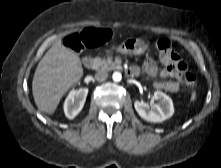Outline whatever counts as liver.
<instances>
[{"mask_svg": "<svg viewBox=\"0 0 221 168\" xmlns=\"http://www.w3.org/2000/svg\"><path fill=\"white\" fill-rule=\"evenodd\" d=\"M83 76L79 56L57 39L40 60L32 81V93L40 111L52 115L65 93Z\"/></svg>", "mask_w": 221, "mask_h": 168, "instance_id": "obj_1", "label": "liver"}]
</instances>
